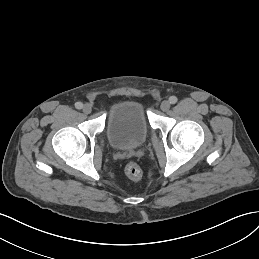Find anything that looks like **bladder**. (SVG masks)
Here are the masks:
<instances>
[{
    "label": "bladder",
    "mask_w": 259,
    "mask_h": 259,
    "mask_svg": "<svg viewBox=\"0 0 259 259\" xmlns=\"http://www.w3.org/2000/svg\"><path fill=\"white\" fill-rule=\"evenodd\" d=\"M148 121L144 107L136 99H123L114 103L107 116V138L117 149L141 146L148 136Z\"/></svg>",
    "instance_id": "bladder-1"
}]
</instances>
